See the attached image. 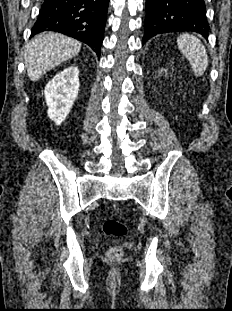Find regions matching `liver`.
Returning a JSON list of instances; mask_svg holds the SVG:
<instances>
[{
    "mask_svg": "<svg viewBox=\"0 0 232 311\" xmlns=\"http://www.w3.org/2000/svg\"><path fill=\"white\" fill-rule=\"evenodd\" d=\"M81 43L59 33L36 35L27 45L25 63L31 81L79 53Z\"/></svg>",
    "mask_w": 232,
    "mask_h": 311,
    "instance_id": "6515ba94",
    "label": "liver"
}]
</instances>
